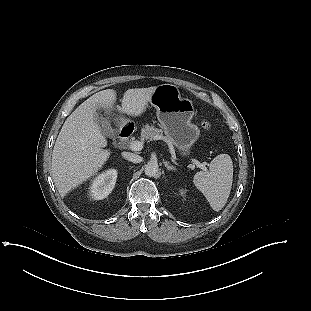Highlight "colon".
<instances>
[{"instance_id":"obj_1","label":"colon","mask_w":311,"mask_h":311,"mask_svg":"<svg viewBox=\"0 0 311 311\" xmlns=\"http://www.w3.org/2000/svg\"><path fill=\"white\" fill-rule=\"evenodd\" d=\"M200 126L204 129V130H209L210 129V123L206 120H202L200 123Z\"/></svg>"}]
</instances>
